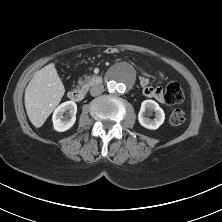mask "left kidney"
<instances>
[{
    "label": "left kidney",
    "instance_id": "obj_1",
    "mask_svg": "<svg viewBox=\"0 0 222 222\" xmlns=\"http://www.w3.org/2000/svg\"><path fill=\"white\" fill-rule=\"evenodd\" d=\"M154 111L155 118L153 120L145 116V113H150ZM165 119V114L159 104L154 100H144L141 104L140 112L138 114L139 123L150 130L158 129L160 125L163 124Z\"/></svg>",
    "mask_w": 222,
    "mask_h": 222
}]
</instances>
